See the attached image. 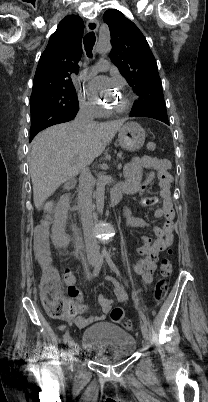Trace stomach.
<instances>
[{
  "instance_id": "stomach-1",
  "label": "stomach",
  "mask_w": 208,
  "mask_h": 402,
  "mask_svg": "<svg viewBox=\"0 0 208 402\" xmlns=\"http://www.w3.org/2000/svg\"><path fill=\"white\" fill-rule=\"evenodd\" d=\"M118 142L124 150L136 152L145 142V132L136 122H128L119 130Z\"/></svg>"
}]
</instances>
